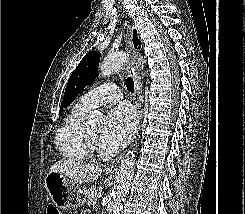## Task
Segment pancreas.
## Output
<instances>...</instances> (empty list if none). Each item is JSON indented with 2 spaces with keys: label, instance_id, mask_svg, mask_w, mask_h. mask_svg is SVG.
I'll return each mask as SVG.
<instances>
[{
  "label": "pancreas",
  "instance_id": "cf45deb5",
  "mask_svg": "<svg viewBox=\"0 0 245 214\" xmlns=\"http://www.w3.org/2000/svg\"><path fill=\"white\" fill-rule=\"evenodd\" d=\"M98 187L96 186H92L89 191H88V200H87V204L88 205H92L96 203V197L98 194Z\"/></svg>",
  "mask_w": 245,
  "mask_h": 214
}]
</instances>
